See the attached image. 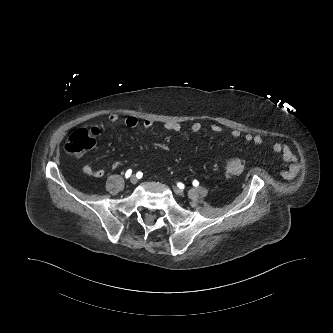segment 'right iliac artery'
<instances>
[{"label":"right iliac artery","instance_id":"right-iliac-artery-1","mask_svg":"<svg viewBox=\"0 0 333 333\" xmlns=\"http://www.w3.org/2000/svg\"><path fill=\"white\" fill-rule=\"evenodd\" d=\"M131 173H132V170H131V169L127 170V172H126V174H125V177H126V178H129V177L131 176Z\"/></svg>","mask_w":333,"mask_h":333}]
</instances>
